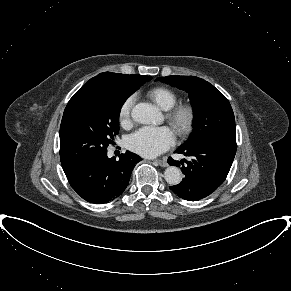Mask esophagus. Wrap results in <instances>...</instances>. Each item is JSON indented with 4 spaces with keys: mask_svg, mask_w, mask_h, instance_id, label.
I'll return each instance as SVG.
<instances>
[{
    "mask_svg": "<svg viewBox=\"0 0 291 291\" xmlns=\"http://www.w3.org/2000/svg\"><path fill=\"white\" fill-rule=\"evenodd\" d=\"M154 163L159 165V166H161V167H167L168 166L166 160H164V159H156V160H154Z\"/></svg>",
    "mask_w": 291,
    "mask_h": 291,
    "instance_id": "obj_1",
    "label": "esophagus"
}]
</instances>
